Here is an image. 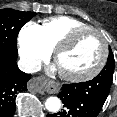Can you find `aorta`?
<instances>
[{
    "label": "aorta",
    "instance_id": "aorta-1",
    "mask_svg": "<svg viewBox=\"0 0 117 117\" xmlns=\"http://www.w3.org/2000/svg\"><path fill=\"white\" fill-rule=\"evenodd\" d=\"M45 107L50 112H57L61 108V100L58 97H49L45 102Z\"/></svg>",
    "mask_w": 117,
    "mask_h": 117
}]
</instances>
